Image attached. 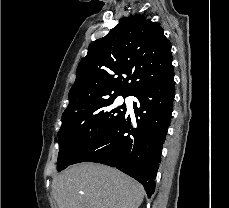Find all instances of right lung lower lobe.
Instances as JSON below:
<instances>
[{
  "label": "right lung lower lobe",
  "instance_id": "98d812e1",
  "mask_svg": "<svg viewBox=\"0 0 229 208\" xmlns=\"http://www.w3.org/2000/svg\"><path fill=\"white\" fill-rule=\"evenodd\" d=\"M173 70L135 95L136 120L126 112L120 121L84 149L72 162H96L116 167L139 181L150 198L174 100Z\"/></svg>",
  "mask_w": 229,
  "mask_h": 208
}]
</instances>
